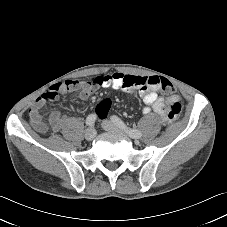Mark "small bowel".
Listing matches in <instances>:
<instances>
[{
	"label": "small bowel",
	"instance_id": "obj_1",
	"mask_svg": "<svg viewBox=\"0 0 227 227\" xmlns=\"http://www.w3.org/2000/svg\"><path fill=\"white\" fill-rule=\"evenodd\" d=\"M160 78L158 76H133L122 73H113L104 76L93 78L87 83L79 80H66L54 84L46 93L38 97L29 110V120L32 126L39 132H46L48 126L44 121L40 110L48 102L57 99V97L67 91L81 88L80 98L87 101L92 92L98 87H112L120 89L124 92L131 93L137 91L141 96L145 106L143 113H148L151 110L159 114L163 120L167 122H174L181 115V100L177 94H168L166 98L158 94L160 86L152 84L151 81ZM64 117L58 112L54 111L49 117L51 127L58 131Z\"/></svg>",
	"mask_w": 227,
	"mask_h": 227
}]
</instances>
